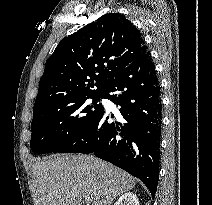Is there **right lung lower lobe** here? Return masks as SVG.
<instances>
[{
	"label": "right lung lower lobe",
	"instance_id": "1",
	"mask_svg": "<svg viewBox=\"0 0 212 205\" xmlns=\"http://www.w3.org/2000/svg\"><path fill=\"white\" fill-rule=\"evenodd\" d=\"M102 96L120 107L122 122L109 123L103 109L85 131L58 152L94 153L139 178L154 198L159 178L162 103L150 52L120 71Z\"/></svg>",
	"mask_w": 212,
	"mask_h": 205
}]
</instances>
